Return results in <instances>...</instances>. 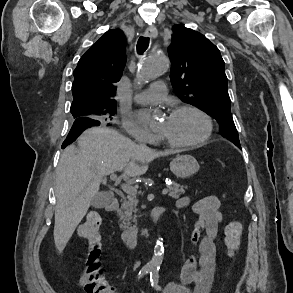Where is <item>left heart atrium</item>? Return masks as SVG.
Wrapping results in <instances>:
<instances>
[{
  "mask_svg": "<svg viewBox=\"0 0 293 293\" xmlns=\"http://www.w3.org/2000/svg\"><path fill=\"white\" fill-rule=\"evenodd\" d=\"M138 117L140 118V120L145 121L146 120V114L144 112H141L138 114Z\"/></svg>",
  "mask_w": 293,
  "mask_h": 293,
  "instance_id": "1",
  "label": "left heart atrium"
}]
</instances>
